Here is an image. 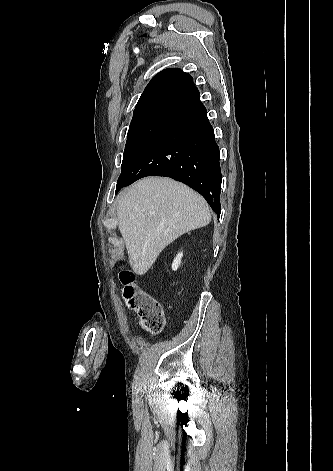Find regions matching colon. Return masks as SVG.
Returning <instances> with one entry per match:
<instances>
[{
  "mask_svg": "<svg viewBox=\"0 0 333 471\" xmlns=\"http://www.w3.org/2000/svg\"><path fill=\"white\" fill-rule=\"evenodd\" d=\"M119 279L124 286V298L129 307L137 312L143 328L152 335L160 334L165 326L160 302L135 286L134 275L130 271H121Z\"/></svg>",
  "mask_w": 333,
  "mask_h": 471,
  "instance_id": "colon-1",
  "label": "colon"
}]
</instances>
